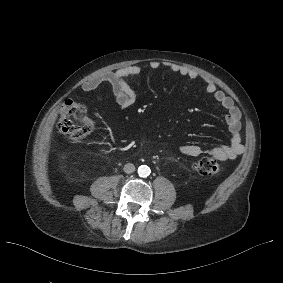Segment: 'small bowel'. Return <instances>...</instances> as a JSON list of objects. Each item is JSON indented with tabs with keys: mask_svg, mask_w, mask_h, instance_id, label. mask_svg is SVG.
I'll return each instance as SVG.
<instances>
[{
	"mask_svg": "<svg viewBox=\"0 0 283 283\" xmlns=\"http://www.w3.org/2000/svg\"><path fill=\"white\" fill-rule=\"evenodd\" d=\"M161 66H165L171 72L187 77L191 80L201 78L205 83L206 93L211 95L214 100V105L226 111L225 123L231 135L229 144L209 148L194 144H187L177 147V151L183 155L192 157L198 156L202 153H207L221 161L233 160L241 155L245 149L241 135V112L233 99L222 90H219L211 79L200 76L195 70L172 62L160 63L158 61H152L149 64V67L152 70H157ZM140 72L141 68L139 66H124L114 72L103 73L90 79L83 85V90L85 92H90L95 90L101 84L107 83L111 86L119 107L121 109H128L134 105L136 101V93L128 84L127 79L130 76L140 74Z\"/></svg>",
	"mask_w": 283,
	"mask_h": 283,
	"instance_id": "obj_1",
	"label": "small bowel"
}]
</instances>
